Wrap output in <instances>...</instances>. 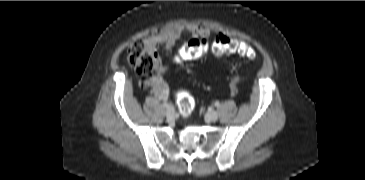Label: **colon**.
<instances>
[{"mask_svg": "<svg viewBox=\"0 0 365 180\" xmlns=\"http://www.w3.org/2000/svg\"><path fill=\"white\" fill-rule=\"evenodd\" d=\"M209 42L205 38H193L186 43L179 52L183 60H194L203 57L209 50ZM212 51L217 55L237 53L247 59H254L256 56L253 48L242 41L226 35H218L211 43ZM127 63L140 76L148 77L156 67V54L153 49L145 43L135 41L127 48ZM236 81L232 82L235 87ZM179 111L183 116L192 113L195 102L186 91L180 90L177 95Z\"/></svg>", "mask_w": 365, "mask_h": 180, "instance_id": "1", "label": "colon"}]
</instances>
